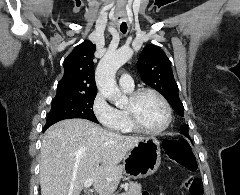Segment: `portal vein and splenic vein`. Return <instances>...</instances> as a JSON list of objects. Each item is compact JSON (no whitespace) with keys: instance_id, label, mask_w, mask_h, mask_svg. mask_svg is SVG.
I'll return each mask as SVG.
<instances>
[{"instance_id":"18ae733b","label":"portal vein and splenic vein","mask_w":240,"mask_h":195,"mask_svg":"<svg viewBox=\"0 0 240 195\" xmlns=\"http://www.w3.org/2000/svg\"><path fill=\"white\" fill-rule=\"evenodd\" d=\"M92 183H93V179H87V181H84L83 185L84 187H90Z\"/></svg>"}]
</instances>
